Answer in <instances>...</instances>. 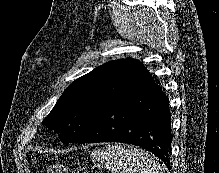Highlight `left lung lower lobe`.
<instances>
[{
  "label": "left lung lower lobe",
  "instance_id": "left-lung-lower-lobe-1",
  "mask_svg": "<svg viewBox=\"0 0 219 173\" xmlns=\"http://www.w3.org/2000/svg\"><path fill=\"white\" fill-rule=\"evenodd\" d=\"M168 97L143 67L137 79L110 101L73 143L121 142L145 148L170 167Z\"/></svg>",
  "mask_w": 219,
  "mask_h": 173
}]
</instances>
